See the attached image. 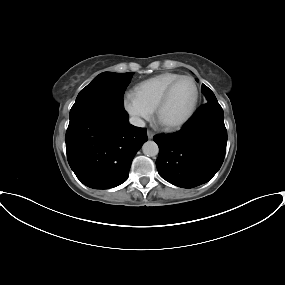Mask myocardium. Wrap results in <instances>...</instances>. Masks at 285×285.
Listing matches in <instances>:
<instances>
[{
  "label": "myocardium",
  "mask_w": 285,
  "mask_h": 285,
  "mask_svg": "<svg viewBox=\"0 0 285 285\" xmlns=\"http://www.w3.org/2000/svg\"><path fill=\"white\" fill-rule=\"evenodd\" d=\"M182 79H189L192 81V83L194 85L195 99H194L193 105H192L190 111L181 120H179L175 123H171V124H163L160 122V113H161L162 109L164 108V106L166 105V103L168 102L174 87ZM199 101H200V88H199V85H198L197 81L195 80V78L192 77L191 75H180L179 77H177L175 80H173L167 86V88L163 92L162 96L160 97V99H159V101H158V103L154 109L155 110V119H156L157 123L166 131L178 130V129L182 128L187 122H189L191 120V118L195 115V113L198 109Z\"/></svg>",
  "instance_id": "obj_1"
}]
</instances>
